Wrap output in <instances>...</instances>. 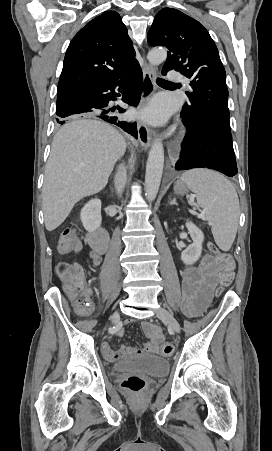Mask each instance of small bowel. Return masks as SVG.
<instances>
[{
  "label": "small bowel",
  "instance_id": "1",
  "mask_svg": "<svg viewBox=\"0 0 272 451\" xmlns=\"http://www.w3.org/2000/svg\"><path fill=\"white\" fill-rule=\"evenodd\" d=\"M101 260V254L97 253L94 250L91 251L86 258V261L88 262L91 269H96L100 265ZM215 263L216 258L214 256L205 254L202 256L197 266L186 265L181 269V307L187 315L196 316L204 308L207 302V295L204 290V282L205 279L214 272ZM143 329L150 338L149 343L145 344L142 348L139 349L134 347L121 346L117 350H112L110 348L109 342H105L102 345V352L106 360L111 362L115 361L112 358V355L115 352H118L121 355V358L130 354H136L140 351L156 352L157 347L162 342V335L160 330L148 323L143 324ZM148 330H151V332H148Z\"/></svg>",
  "mask_w": 272,
  "mask_h": 451
}]
</instances>
